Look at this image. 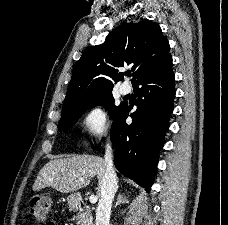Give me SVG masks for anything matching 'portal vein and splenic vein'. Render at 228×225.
Segmentation results:
<instances>
[{"label": "portal vein and splenic vein", "mask_w": 228, "mask_h": 225, "mask_svg": "<svg viewBox=\"0 0 228 225\" xmlns=\"http://www.w3.org/2000/svg\"><path fill=\"white\" fill-rule=\"evenodd\" d=\"M80 181H84V179H80ZM89 201L90 203H97V197H93V195H91Z\"/></svg>", "instance_id": "1"}]
</instances>
